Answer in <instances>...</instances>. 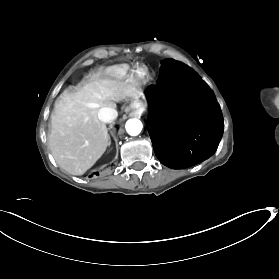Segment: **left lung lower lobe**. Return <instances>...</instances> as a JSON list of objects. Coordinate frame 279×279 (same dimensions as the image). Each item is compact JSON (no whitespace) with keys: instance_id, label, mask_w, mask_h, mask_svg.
I'll return each mask as SVG.
<instances>
[{"instance_id":"left-lung-lower-lobe-1","label":"left lung lower lobe","mask_w":279,"mask_h":279,"mask_svg":"<svg viewBox=\"0 0 279 279\" xmlns=\"http://www.w3.org/2000/svg\"><path fill=\"white\" fill-rule=\"evenodd\" d=\"M145 93L148 132L163 165L184 169L215 153L223 134L222 114L197 73L181 62L163 60L157 84Z\"/></svg>"}]
</instances>
